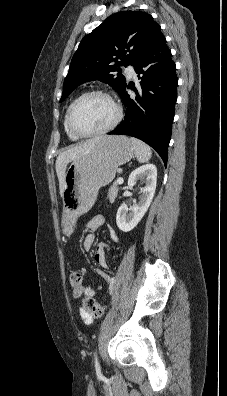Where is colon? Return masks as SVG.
I'll return each instance as SVG.
<instances>
[{
    "instance_id": "colon-1",
    "label": "colon",
    "mask_w": 227,
    "mask_h": 396,
    "mask_svg": "<svg viewBox=\"0 0 227 396\" xmlns=\"http://www.w3.org/2000/svg\"><path fill=\"white\" fill-rule=\"evenodd\" d=\"M69 280L70 284L73 288V294L75 297H81L82 287H83V276L77 271L70 269L69 270ZM82 307L91 313L94 317H100L103 315L105 311V307L99 304L91 297H84L82 299Z\"/></svg>"
}]
</instances>
